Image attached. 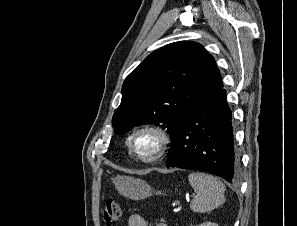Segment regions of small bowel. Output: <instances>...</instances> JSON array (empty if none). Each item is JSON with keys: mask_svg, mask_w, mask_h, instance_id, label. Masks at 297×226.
I'll return each mask as SVG.
<instances>
[{"mask_svg": "<svg viewBox=\"0 0 297 226\" xmlns=\"http://www.w3.org/2000/svg\"><path fill=\"white\" fill-rule=\"evenodd\" d=\"M128 226H148L146 219L140 214H132L128 219ZM155 226H167L164 223H157Z\"/></svg>", "mask_w": 297, "mask_h": 226, "instance_id": "1", "label": "small bowel"}]
</instances>
